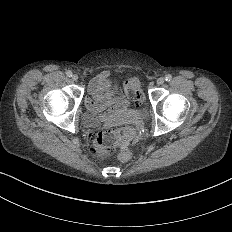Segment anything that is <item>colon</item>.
<instances>
[{
	"instance_id": "1",
	"label": "colon",
	"mask_w": 232,
	"mask_h": 232,
	"mask_svg": "<svg viewBox=\"0 0 232 232\" xmlns=\"http://www.w3.org/2000/svg\"><path fill=\"white\" fill-rule=\"evenodd\" d=\"M126 95H131L135 103L144 99L142 91L138 90L141 82L135 78L123 79ZM136 141V134L132 130L121 131L118 129L100 130L92 140V147L100 153L104 159H112L116 151H120L124 145H132Z\"/></svg>"
}]
</instances>
